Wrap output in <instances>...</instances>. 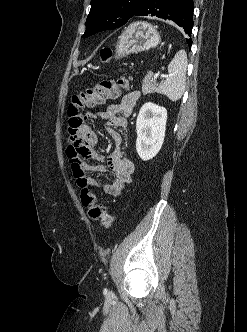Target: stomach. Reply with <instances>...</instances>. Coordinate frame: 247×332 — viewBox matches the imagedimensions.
<instances>
[{
	"instance_id": "obj_1",
	"label": "stomach",
	"mask_w": 247,
	"mask_h": 332,
	"mask_svg": "<svg viewBox=\"0 0 247 332\" xmlns=\"http://www.w3.org/2000/svg\"><path fill=\"white\" fill-rule=\"evenodd\" d=\"M161 42L156 27L147 22L137 21L130 24L120 36L116 46L115 58L147 51Z\"/></svg>"
}]
</instances>
